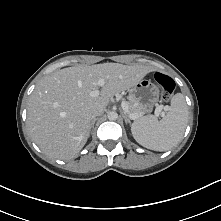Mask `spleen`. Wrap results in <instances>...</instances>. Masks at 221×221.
<instances>
[{"label": "spleen", "mask_w": 221, "mask_h": 221, "mask_svg": "<svg viewBox=\"0 0 221 221\" xmlns=\"http://www.w3.org/2000/svg\"><path fill=\"white\" fill-rule=\"evenodd\" d=\"M188 106L184 95L175 94L166 116L158 120L147 115L134 121L131 131L134 139L143 147L155 151H167L178 144L188 121Z\"/></svg>", "instance_id": "obj_1"}]
</instances>
